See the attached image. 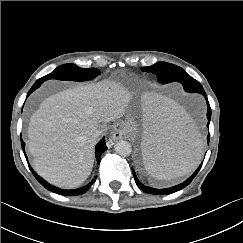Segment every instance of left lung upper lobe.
<instances>
[{"mask_svg": "<svg viewBox=\"0 0 243 243\" xmlns=\"http://www.w3.org/2000/svg\"><path fill=\"white\" fill-rule=\"evenodd\" d=\"M142 70L156 74L158 81L162 84L173 81L180 82L183 86L198 83L197 80L188 75L181 67L167 62H157L152 66L143 67Z\"/></svg>", "mask_w": 243, "mask_h": 243, "instance_id": "1", "label": "left lung upper lobe"}]
</instances>
